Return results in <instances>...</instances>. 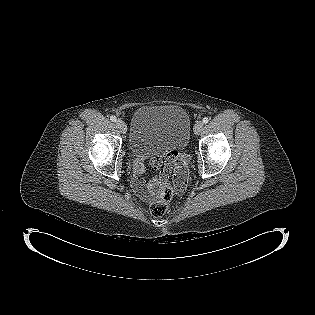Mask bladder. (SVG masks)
Returning a JSON list of instances; mask_svg holds the SVG:
<instances>
[{
    "label": "bladder",
    "instance_id": "31cf9c89",
    "mask_svg": "<svg viewBox=\"0 0 315 315\" xmlns=\"http://www.w3.org/2000/svg\"><path fill=\"white\" fill-rule=\"evenodd\" d=\"M191 122L175 105H151L137 109L131 119L129 146L139 156L183 150L189 143Z\"/></svg>",
    "mask_w": 315,
    "mask_h": 315
}]
</instances>
